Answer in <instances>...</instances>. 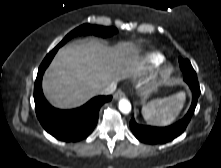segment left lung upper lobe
I'll list each match as a JSON object with an SVG mask.
<instances>
[{
  "instance_id": "obj_1",
  "label": "left lung upper lobe",
  "mask_w": 221,
  "mask_h": 168,
  "mask_svg": "<svg viewBox=\"0 0 221 168\" xmlns=\"http://www.w3.org/2000/svg\"><path fill=\"white\" fill-rule=\"evenodd\" d=\"M179 63H180V68H181L182 72L184 73V76L196 75V72L194 71V69L188 59L179 58Z\"/></svg>"
}]
</instances>
